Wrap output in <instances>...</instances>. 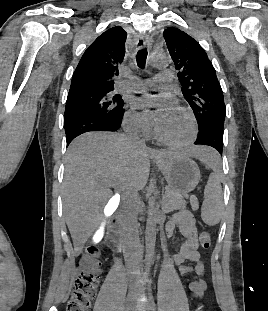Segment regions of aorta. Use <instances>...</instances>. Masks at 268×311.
<instances>
[{"instance_id": "762f6f07", "label": "aorta", "mask_w": 268, "mask_h": 311, "mask_svg": "<svg viewBox=\"0 0 268 311\" xmlns=\"http://www.w3.org/2000/svg\"><path fill=\"white\" fill-rule=\"evenodd\" d=\"M149 65L151 67L161 68L165 66V60L162 56L157 54H152L149 58ZM155 190V185L150 184L149 191L150 193ZM158 219V212L156 209V201L154 196H150L148 199V208H147V222H146V232H145V244H146V264L147 266L151 265L155 242H156V224Z\"/></svg>"}]
</instances>
